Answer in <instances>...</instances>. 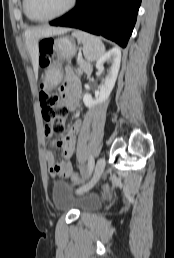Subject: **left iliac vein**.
Here are the masks:
<instances>
[{
    "label": "left iliac vein",
    "instance_id": "4c4485c4",
    "mask_svg": "<svg viewBox=\"0 0 174 258\" xmlns=\"http://www.w3.org/2000/svg\"><path fill=\"white\" fill-rule=\"evenodd\" d=\"M105 164L106 162L104 158H99L97 160L92 178L87 184H85L77 191L78 193L88 192L92 187L95 186L105 169Z\"/></svg>",
    "mask_w": 174,
    "mask_h": 258
}]
</instances>
